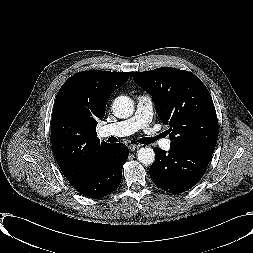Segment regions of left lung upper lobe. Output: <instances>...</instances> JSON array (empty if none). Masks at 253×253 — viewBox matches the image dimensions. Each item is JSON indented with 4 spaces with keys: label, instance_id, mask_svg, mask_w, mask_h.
Instances as JSON below:
<instances>
[{
    "label": "left lung upper lobe",
    "instance_id": "1",
    "mask_svg": "<svg viewBox=\"0 0 253 253\" xmlns=\"http://www.w3.org/2000/svg\"><path fill=\"white\" fill-rule=\"evenodd\" d=\"M134 81L148 91L164 124H169L171 147L213 153L218 120L210 93L193 73L175 68L134 72Z\"/></svg>",
    "mask_w": 253,
    "mask_h": 253
}]
</instances>
